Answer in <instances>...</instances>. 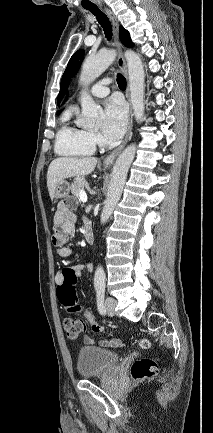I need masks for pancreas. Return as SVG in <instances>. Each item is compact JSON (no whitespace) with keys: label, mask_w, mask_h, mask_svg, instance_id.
I'll return each mask as SVG.
<instances>
[{"label":"pancreas","mask_w":213,"mask_h":433,"mask_svg":"<svg viewBox=\"0 0 213 433\" xmlns=\"http://www.w3.org/2000/svg\"><path fill=\"white\" fill-rule=\"evenodd\" d=\"M86 181L83 177H76L71 185V192L75 196H79L81 190H84Z\"/></svg>","instance_id":"cf45deb5"}]
</instances>
